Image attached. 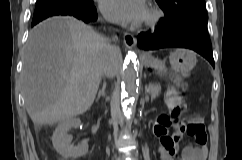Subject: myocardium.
Here are the masks:
<instances>
[{
  "mask_svg": "<svg viewBox=\"0 0 242 160\" xmlns=\"http://www.w3.org/2000/svg\"><path fill=\"white\" fill-rule=\"evenodd\" d=\"M164 17V12L157 6H149L141 26L145 29H155Z\"/></svg>",
  "mask_w": 242,
  "mask_h": 160,
  "instance_id": "myocardium-1",
  "label": "myocardium"
}]
</instances>
